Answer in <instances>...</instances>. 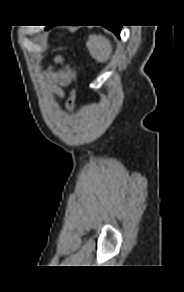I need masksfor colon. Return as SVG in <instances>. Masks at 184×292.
I'll return each mask as SVG.
<instances>
[{
    "mask_svg": "<svg viewBox=\"0 0 184 292\" xmlns=\"http://www.w3.org/2000/svg\"><path fill=\"white\" fill-rule=\"evenodd\" d=\"M74 102H75V94L73 93L70 98L68 99L66 105L69 109H72L74 106Z\"/></svg>",
    "mask_w": 184,
    "mask_h": 292,
    "instance_id": "colon-1",
    "label": "colon"
}]
</instances>
